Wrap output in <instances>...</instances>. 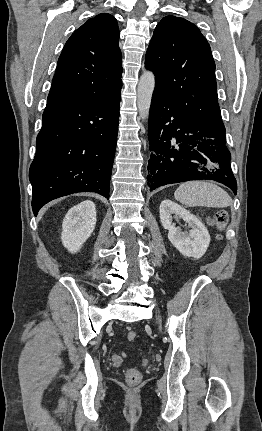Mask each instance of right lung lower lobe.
<instances>
[{"label": "right lung lower lobe", "mask_w": 262, "mask_h": 431, "mask_svg": "<svg viewBox=\"0 0 262 431\" xmlns=\"http://www.w3.org/2000/svg\"><path fill=\"white\" fill-rule=\"evenodd\" d=\"M120 93L108 101L47 104L29 171L36 216L49 201L76 192L109 199Z\"/></svg>", "instance_id": "1"}]
</instances>
